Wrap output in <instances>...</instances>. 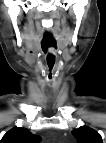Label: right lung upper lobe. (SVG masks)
Instances as JSON below:
<instances>
[{"instance_id": "right-lung-upper-lobe-1", "label": "right lung upper lobe", "mask_w": 106, "mask_h": 143, "mask_svg": "<svg viewBox=\"0 0 106 143\" xmlns=\"http://www.w3.org/2000/svg\"><path fill=\"white\" fill-rule=\"evenodd\" d=\"M38 135L32 134L26 128L15 127L9 130L1 140V143H38Z\"/></svg>"}]
</instances>
